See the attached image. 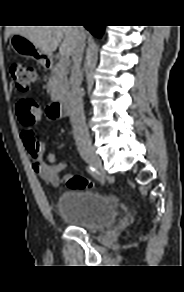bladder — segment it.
Returning a JSON list of instances; mask_svg holds the SVG:
<instances>
[{
	"label": "bladder",
	"instance_id": "31cf9c89",
	"mask_svg": "<svg viewBox=\"0 0 184 292\" xmlns=\"http://www.w3.org/2000/svg\"><path fill=\"white\" fill-rule=\"evenodd\" d=\"M58 215L72 227L98 231L112 225L117 206L109 196L88 188L69 189L56 203Z\"/></svg>",
	"mask_w": 184,
	"mask_h": 292
}]
</instances>
